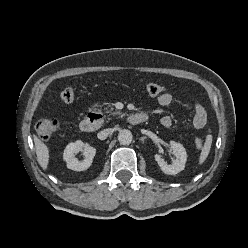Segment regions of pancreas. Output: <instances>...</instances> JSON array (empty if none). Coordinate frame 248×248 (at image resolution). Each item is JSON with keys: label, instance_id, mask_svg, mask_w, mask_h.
I'll return each instance as SVG.
<instances>
[{"label": "pancreas", "instance_id": "cf45deb5", "mask_svg": "<svg viewBox=\"0 0 248 248\" xmlns=\"http://www.w3.org/2000/svg\"><path fill=\"white\" fill-rule=\"evenodd\" d=\"M110 114H111V115H120L121 112H120V111H115V112H111V111H110Z\"/></svg>", "mask_w": 248, "mask_h": 248}]
</instances>
